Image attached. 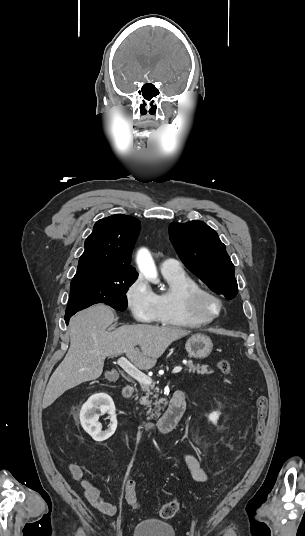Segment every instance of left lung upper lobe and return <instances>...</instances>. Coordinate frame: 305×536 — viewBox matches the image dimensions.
Returning a JSON list of instances; mask_svg holds the SVG:
<instances>
[{"label":"left lung upper lobe","instance_id":"5c2ea615","mask_svg":"<svg viewBox=\"0 0 305 536\" xmlns=\"http://www.w3.org/2000/svg\"><path fill=\"white\" fill-rule=\"evenodd\" d=\"M170 240L185 266L209 288L232 299L238 292L234 265L218 234L202 221L172 222Z\"/></svg>","mask_w":305,"mask_h":536}]
</instances>
